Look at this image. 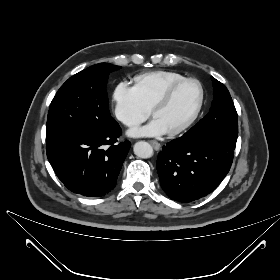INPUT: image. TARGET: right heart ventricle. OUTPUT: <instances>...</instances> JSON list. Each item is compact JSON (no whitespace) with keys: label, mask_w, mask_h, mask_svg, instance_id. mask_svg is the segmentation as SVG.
I'll return each instance as SVG.
<instances>
[{"label":"right heart ventricle","mask_w":280,"mask_h":280,"mask_svg":"<svg viewBox=\"0 0 280 280\" xmlns=\"http://www.w3.org/2000/svg\"><path fill=\"white\" fill-rule=\"evenodd\" d=\"M184 78L182 74L173 71H151L136 75L134 88L143 103L150 109L169 85Z\"/></svg>","instance_id":"1"}]
</instances>
